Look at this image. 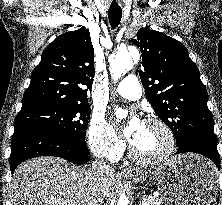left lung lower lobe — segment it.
<instances>
[{"instance_id": "obj_1", "label": "left lung lower lobe", "mask_w": 222, "mask_h": 205, "mask_svg": "<svg viewBox=\"0 0 222 205\" xmlns=\"http://www.w3.org/2000/svg\"><path fill=\"white\" fill-rule=\"evenodd\" d=\"M198 153L212 160L220 170V158L217 151V142L204 137H193L178 146L177 153Z\"/></svg>"}]
</instances>
